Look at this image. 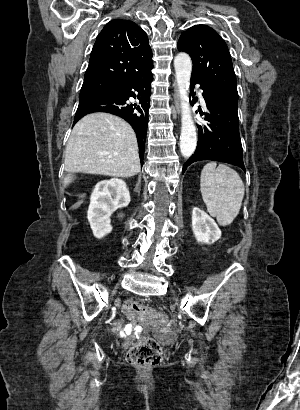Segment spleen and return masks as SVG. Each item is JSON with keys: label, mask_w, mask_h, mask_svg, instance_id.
<instances>
[{"label": "spleen", "mask_w": 300, "mask_h": 410, "mask_svg": "<svg viewBox=\"0 0 300 410\" xmlns=\"http://www.w3.org/2000/svg\"><path fill=\"white\" fill-rule=\"evenodd\" d=\"M200 191L209 214L221 226L231 224L240 211L245 191L239 174L227 165L207 163L201 172Z\"/></svg>", "instance_id": "spleen-1"}]
</instances>
